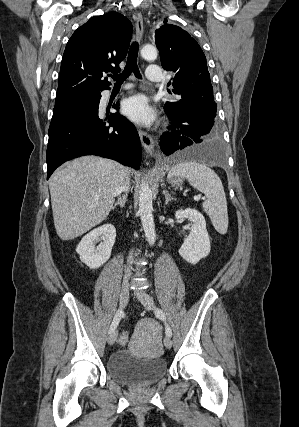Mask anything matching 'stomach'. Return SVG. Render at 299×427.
<instances>
[{
	"label": "stomach",
	"mask_w": 299,
	"mask_h": 427,
	"mask_svg": "<svg viewBox=\"0 0 299 427\" xmlns=\"http://www.w3.org/2000/svg\"><path fill=\"white\" fill-rule=\"evenodd\" d=\"M167 180L171 185H180L183 183V178L180 176H169L167 177Z\"/></svg>",
	"instance_id": "obj_1"
}]
</instances>
